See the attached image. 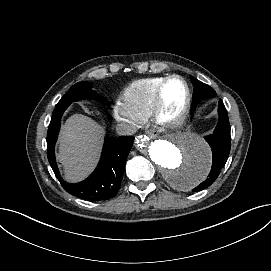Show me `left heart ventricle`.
<instances>
[{
    "mask_svg": "<svg viewBox=\"0 0 271 271\" xmlns=\"http://www.w3.org/2000/svg\"><path fill=\"white\" fill-rule=\"evenodd\" d=\"M186 97V87L180 80H172L165 92V99L170 109L178 107Z\"/></svg>",
    "mask_w": 271,
    "mask_h": 271,
    "instance_id": "left-heart-ventricle-1",
    "label": "left heart ventricle"
}]
</instances>
